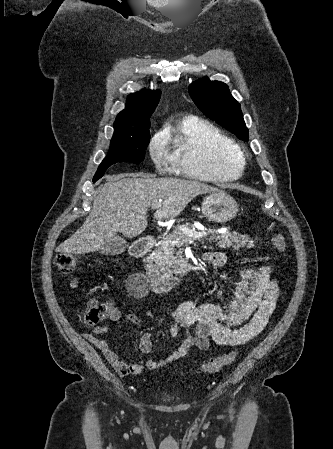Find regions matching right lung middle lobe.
I'll use <instances>...</instances> for the list:
<instances>
[{
	"label": "right lung middle lobe",
	"mask_w": 333,
	"mask_h": 449,
	"mask_svg": "<svg viewBox=\"0 0 333 449\" xmlns=\"http://www.w3.org/2000/svg\"><path fill=\"white\" fill-rule=\"evenodd\" d=\"M149 127L150 121L147 120L139 136L112 138L109 152L98 167L93 181L96 182L99 178H101L106 169L114 163H140L143 161L145 157V149L150 140Z\"/></svg>",
	"instance_id": "right-lung-middle-lobe-1"
}]
</instances>
